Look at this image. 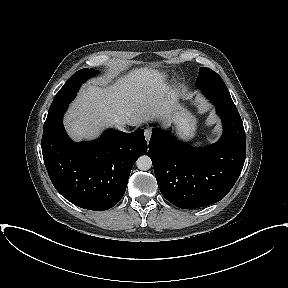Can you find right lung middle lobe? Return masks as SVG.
Returning a JSON list of instances; mask_svg holds the SVG:
<instances>
[{
	"label": "right lung middle lobe",
	"instance_id": "right-lung-middle-lobe-1",
	"mask_svg": "<svg viewBox=\"0 0 288 288\" xmlns=\"http://www.w3.org/2000/svg\"><path fill=\"white\" fill-rule=\"evenodd\" d=\"M96 73L97 71H94L93 69L84 68L73 74L55 95L48 113L68 105L76 96L81 84Z\"/></svg>",
	"mask_w": 288,
	"mask_h": 288
}]
</instances>
